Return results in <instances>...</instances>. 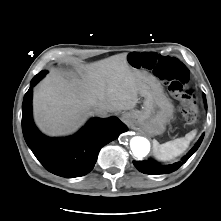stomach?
I'll list each match as a JSON object with an SVG mask.
<instances>
[{
	"label": "stomach",
	"mask_w": 221,
	"mask_h": 221,
	"mask_svg": "<svg viewBox=\"0 0 221 221\" xmlns=\"http://www.w3.org/2000/svg\"><path fill=\"white\" fill-rule=\"evenodd\" d=\"M133 53L128 54L127 61L135 70L137 66L131 65ZM143 74V73H142ZM140 95L144 97L141 110L130 112L132 124L142 129L150 136L160 135L165 131L166 124L173 115V105L166 97L161 83L153 76L143 74V86Z\"/></svg>",
	"instance_id": "stomach-1"
}]
</instances>
